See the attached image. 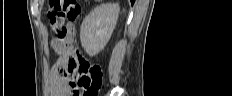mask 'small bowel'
I'll use <instances>...</instances> for the list:
<instances>
[{
  "instance_id": "c3829d8e",
  "label": "small bowel",
  "mask_w": 232,
  "mask_h": 96,
  "mask_svg": "<svg viewBox=\"0 0 232 96\" xmlns=\"http://www.w3.org/2000/svg\"><path fill=\"white\" fill-rule=\"evenodd\" d=\"M69 32L73 35L76 32H79L78 25H69L68 26ZM68 42H59L53 41L52 46L53 48L60 54V59L57 65L51 70L49 78H50V86H49V93L51 96H70L71 93H75L74 83L72 79L75 78V73H68L67 72V57L63 53V50ZM72 75V78H70ZM75 96V95H74Z\"/></svg>"
}]
</instances>
